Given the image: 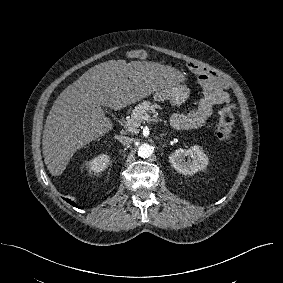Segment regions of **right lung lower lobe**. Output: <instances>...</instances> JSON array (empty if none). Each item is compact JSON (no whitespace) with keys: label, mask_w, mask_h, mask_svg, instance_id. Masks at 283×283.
I'll use <instances>...</instances> for the list:
<instances>
[{"label":"right lung lower lobe","mask_w":283,"mask_h":283,"mask_svg":"<svg viewBox=\"0 0 283 283\" xmlns=\"http://www.w3.org/2000/svg\"><path fill=\"white\" fill-rule=\"evenodd\" d=\"M66 201H67L68 203H70L71 205L77 207L76 204H75L73 201H71L70 199H67Z\"/></svg>","instance_id":"1"}]
</instances>
